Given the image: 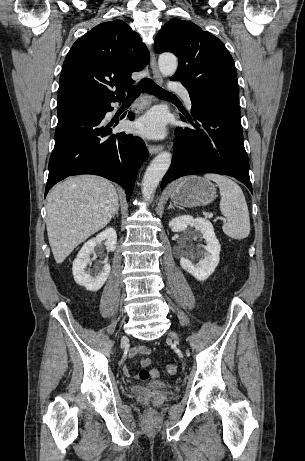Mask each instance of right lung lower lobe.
<instances>
[{"mask_svg": "<svg viewBox=\"0 0 305 461\" xmlns=\"http://www.w3.org/2000/svg\"><path fill=\"white\" fill-rule=\"evenodd\" d=\"M122 99L58 108L45 196L57 182L68 176L95 174L120 184L129 201L137 171L148 157V151L139 137L123 132L112 134V127L117 123L104 124L105 114L113 110L110 103ZM128 117L134 119L132 113H128Z\"/></svg>", "mask_w": 305, "mask_h": 461, "instance_id": "1", "label": "right lung lower lobe"}]
</instances>
